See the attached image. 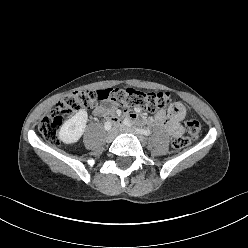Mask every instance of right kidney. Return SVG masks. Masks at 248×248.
<instances>
[{"instance_id":"1","label":"right kidney","mask_w":248,"mask_h":248,"mask_svg":"<svg viewBox=\"0 0 248 248\" xmlns=\"http://www.w3.org/2000/svg\"><path fill=\"white\" fill-rule=\"evenodd\" d=\"M87 120L88 114L85 110L76 113L60 128L59 139L65 144L78 142L85 131Z\"/></svg>"}]
</instances>
